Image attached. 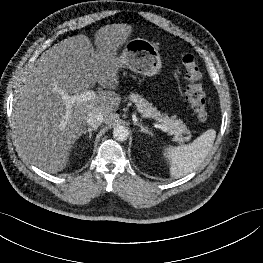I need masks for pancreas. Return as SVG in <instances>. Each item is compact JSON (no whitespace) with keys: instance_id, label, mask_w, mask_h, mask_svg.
Returning <instances> with one entry per match:
<instances>
[{"instance_id":"cf45deb5","label":"pancreas","mask_w":263,"mask_h":263,"mask_svg":"<svg viewBox=\"0 0 263 263\" xmlns=\"http://www.w3.org/2000/svg\"><path fill=\"white\" fill-rule=\"evenodd\" d=\"M128 98L135 102L138 112L144 117L157 119L162 122L167 127V132L170 135H174L175 141L183 143L190 140V132L182 120L177 119L176 116L169 118L167 115H162L150 102L138 94L131 93ZM183 134H187V136H183Z\"/></svg>"}]
</instances>
